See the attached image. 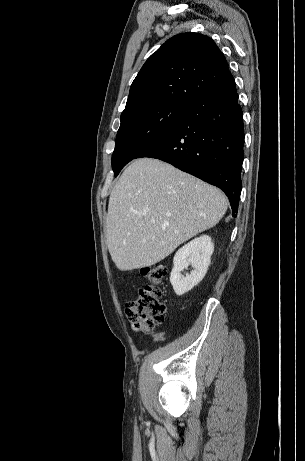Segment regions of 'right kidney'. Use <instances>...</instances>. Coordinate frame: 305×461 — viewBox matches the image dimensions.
<instances>
[{"label": "right kidney", "instance_id": "right-kidney-1", "mask_svg": "<svg viewBox=\"0 0 305 461\" xmlns=\"http://www.w3.org/2000/svg\"><path fill=\"white\" fill-rule=\"evenodd\" d=\"M214 251L211 237L202 235L180 248L173 259L170 282L176 295L181 296L196 286L205 276ZM191 265L193 270L183 276L181 272Z\"/></svg>", "mask_w": 305, "mask_h": 461}]
</instances>
